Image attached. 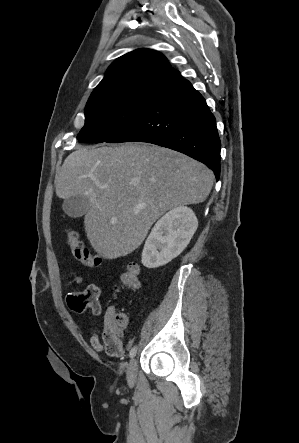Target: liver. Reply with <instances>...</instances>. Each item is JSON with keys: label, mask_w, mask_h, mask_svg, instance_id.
<instances>
[{"label": "liver", "mask_w": 299, "mask_h": 443, "mask_svg": "<svg viewBox=\"0 0 299 443\" xmlns=\"http://www.w3.org/2000/svg\"><path fill=\"white\" fill-rule=\"evenodd\" d=\"M213 181L209 168L182 153L126 143L77 148L65 159L55 186L61 199L89 197L87 238L102 257L116 259L137 249L168 210L203 202ZM140 204L145 207L137 208Z\"/></svg>", "instance_id": "liver-1"}]
</instances>
